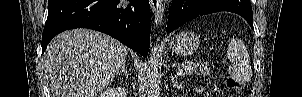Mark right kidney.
Returning <instances> with one entry per match:
<instances>
[{"mask_svg": "<svg viewBox=\"0 0 302 97\" xmlns=\"http://www.w3.org/2000/svg\"><path fill=\"white\" fill-rule=\"evenodd\" d=\"M116 94L121 96V97H126V92L122 87H118L116 90ZM107 93H103L101 95H99L98 97H106Z\"/></svg>", "mask_w": 302, "mask_h": 97, "instance_id": "ca27d5eb", "label": "right kidney"}]
</instances>
